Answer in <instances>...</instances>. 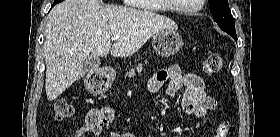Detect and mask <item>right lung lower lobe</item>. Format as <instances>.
I'll use <instances>...</instances> for the list:
<instances>
[{"instance_id": "98d812e1", "label": "right lung lower lobe", "mask_w": 280, "mask_h": 137, "mask_svg": "<svg viewBox=\"0 0 280 137\" xmlns=\"http://www.w3.org/2000/svg\"><path fill=\"white\" fill-rule=\"evenodd\" d=\"M57 3H59V2H54L53 5L51 6V8H52L54 5H56Z\"/></svg>"}]
</instances>
